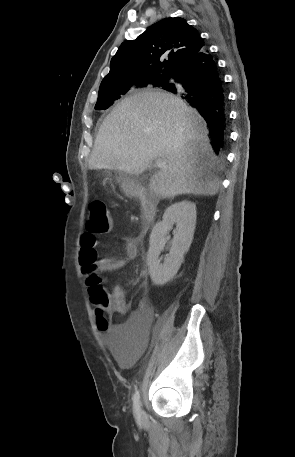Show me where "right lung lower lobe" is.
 Instances as JSON below:
<instances>
[{"mask_svg": "<svg viewBox=\"0 0 295 457\" xmlns=\"http://www.w3.org/2000/svg\"><path fill=\"white\" fill-rule=\"evenodd\" d=\"M172 78L180 86L170 84L165 90L180 95L194 106L211 129V145L217 155L226 146L227 95L218 67L208 50L183 62Z\"/></svg>", "mask_w": 295, "mask_h": 457, "instance_id": "98d812e1", "label": "right lung lower lobe"}]
</instances>
